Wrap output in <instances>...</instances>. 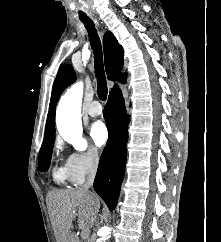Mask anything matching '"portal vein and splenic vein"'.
<instances>
[{"mask_svg": "<svg viewBox=\"0 0 221 242\" xmlns=\"http://www.w3.org/2000/svg\"><path fill=\"white\" fill-rule=\"evenodd\" d=\"M90 231L88 229H85L82 233L84 238H87L89 236Z\"/></svg>", "mask_w": 221, "mask_h": 242, "instance_id": "obj_1", "label": "portal vein and splenic vein"}]
</instances>
